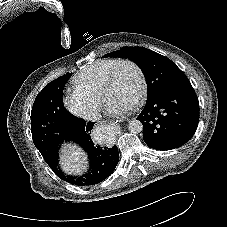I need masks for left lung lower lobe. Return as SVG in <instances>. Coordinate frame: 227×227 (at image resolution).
<instances>
[{"mask_svg": "<svg viewBox=\"0 0 227 227\" xmlns=\"http://www.w3.org/2000/svg\"><path fill=\"white\" fill-rule=\"evenodd\" d=\"M137 119L143 139L153 149L171 150L188 142L199 122V103L191 84L182 85L147 99Z\"/></svg>", "mask_w": 227, "mask_h": 227, "instance_id": "obj_1", "label": "left lung lower lobe"}]
</instances>
